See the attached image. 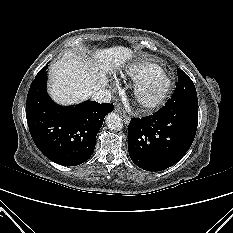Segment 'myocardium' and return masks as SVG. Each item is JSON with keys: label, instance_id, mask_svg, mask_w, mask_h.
Returning a JSON list of instances; mask_svg holds the SVG:
<instances>
[{"label": "myocardium", "instance_id": "f54148a6", "mask_svg": "<svg viewBox=\"0 0 233 233\" xmlns=\"http://www.w3.org/2000/svg\"><path fill=\"white\" fill-rule=\"evenodd\" d=\"M171 86L172 79L165 71L153 70L137 82L136 101L143 110H154L164 102Z\"/></svg>", "mask_w": 233, "mask_h": 233}]
</instances>
